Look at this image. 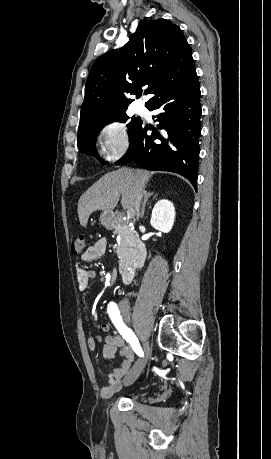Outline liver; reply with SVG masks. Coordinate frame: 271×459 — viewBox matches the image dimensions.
Wrapping results in <instances>:
<instances>
[{
  "instance_id": "liver-1",
  "label": "liver",
  "mask_w": 271,
  "mask_h": 459,
  "mask_svg": "<svg viewBox=\"0 0 271 459\" xmlns=\"http://www.w3.org/2000/svg\"><path fill=\"white\" fill-rule=\"evenodd\" d=\"M150 178L146 170H129V168H120L117 172H108L102 176L82 194L78 202V218L81 226L83 228L87 226L90 214L96 210L112 212L120 196H122L123 210H133L136 190L145 194L143 188H146Z\"/></svg>"
}]
</instances>
